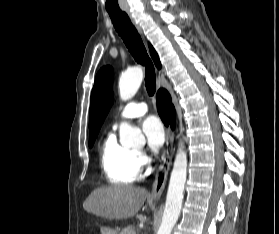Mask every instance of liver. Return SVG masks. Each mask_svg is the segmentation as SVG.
<instances>
[{"label":"liver","instance_id":"obj_1","mask_svg":"<svg viewBox=\"0 0 279 234\" xmlns=\"http://www.w3.org/2000/svg\"><path fill=\"white\" fill-rule=\"evenodd\" d=\"M146 198L144 188L114 185L95 189L84 201L83 208L98 217L127 219L138 213Z\"/></svg>","mask_w":279,"mask_h":234}]
</instances>
